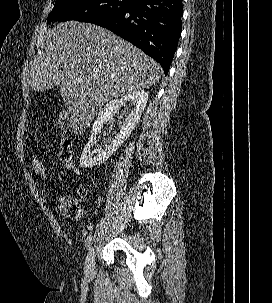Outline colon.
Instances as JSON below:
<instances>
[{"instance_id":"5ec220e1","label":"colon","mask_w":272,"mask_h":303,"mask_svg":"<svg viewBox=\"0 0 272 303\" xmlns=\"http://www.w3.org/2000/svg\"><path fill=\"white\" fill-rule=\"evenodd\" d=\"M65 116H62L57 121V127L59 128L62 136L60 140V159L70 169H73V144L72 139L68 135L65 126ZM31 168L34 175L38 177H44L47 174V163L45 159L38 153H34L31 156ZM82 190L78 192L77 196L66 195L60 199L58 210L61 214L70 219L77 220L81 218L85 210V202L82 198Z\"/></svg>"}]
</instances>
